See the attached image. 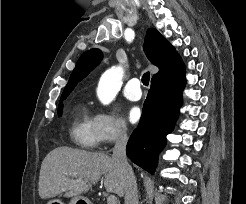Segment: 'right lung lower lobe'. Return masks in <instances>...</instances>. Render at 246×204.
I'll use <instances>...</instances> for the list:
<instances>
[{
  "mask_svg": "<svg viewBox=\"0 0 246 204\" xmlns=\"http://www.w3.org/2000/svg\"><path fill=\"white\" fill-rule=\"evenodd\" d=\"M185 83L184 66L151 80L140 123L126 148L129 159L150 173L178 117Z\"/></svg>",
  "mask_w": 246,
  "mask_h": 204,
  "instance_id": "98d812e1",
  "label": "right lung lower lobe"
}]
</instances>
